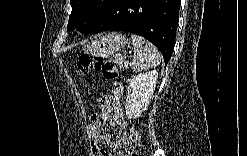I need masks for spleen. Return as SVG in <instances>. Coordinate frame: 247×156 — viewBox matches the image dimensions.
<instances>
[{"label": "spleen", "instance_id": "1", "mask_svg": "<svg viewBox=\"0 0 247 156\" xmlns=\"http://www.w3.org/2000/svg\"><path fill=\"white\" fill-rule=\"evenodd\" d=\"M131 40L134 49L132 68L135 72L160 64L161 54L152 43L138 35H131Z\"/></svg>", "mask_w": 247, "mask_h": 156}]
</instances>
